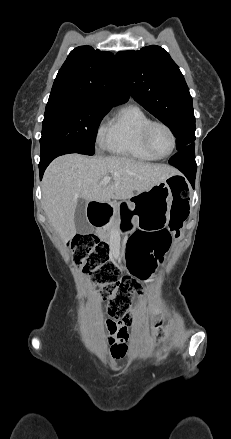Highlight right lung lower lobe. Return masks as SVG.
<instances>
[{"instance_id": "1", "label": "right lung lower lobe", "mask_w": 231, "mask_h": 439, "mask_svg": "<svg viewBox=\"0 0 231 439\" xmlns=\"http://www.w3.org/2000/svg\"><path fill=\"white\" fill-rule=\"evenodd\" d=\"M67 153H71V150H62V151H60L59 153H57L56 155H54L52 157H49V158H46V159H41L40 163H39L40 179L42 178L43 173H44L46 167L49 165V163L54 158H56L59 155H63V154H67Z\"/></svg>"}]
</instances>
